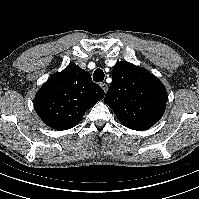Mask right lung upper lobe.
Instances as JSON below:
<instances>
[{
  "label": "right lung upper lobe",
  "instance_id": "right-lung-upper-lobe-1",
  "mask_svg": "<svg viewBox=\"0 0 199 199\" xmlns=\"http://www.w3.org/2000/svg\"><path fill=\"white\" fill-rule=\"evenodd\" d=\"M103 96V89L91 75L71 64L47 80L35 96L34 107L46 125L66 130L76 126Z\"/></svg>",
  "mask_w": 199,
  "mask_h": 199
}]
</instances>
